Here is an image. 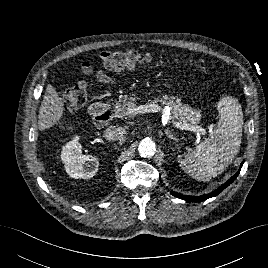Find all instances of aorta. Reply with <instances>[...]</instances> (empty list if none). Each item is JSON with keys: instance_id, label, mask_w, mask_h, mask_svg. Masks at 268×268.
Segmentation results:
<instances>
[{"instance_id": "762f6f07", "label": "aorta", "mask_w": 268, "mask_h": 268, "mask_svg": "<svg viewBox=\"0 0 268 268\" xmlns=\"http://www.w3.org/2000/svg\"><path fill=\"white\" fill-rule=\"evenodd\" d=\"M138 151L142 157L151 158L156 152V145L151 139L145 138L140 141Z\"/></svg>"}]
</instances>
